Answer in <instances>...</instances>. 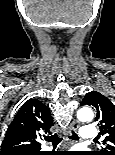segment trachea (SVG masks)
<instances>
[{"mask_svg": "<svg viewBox=\"0 0 115 155\" xmlns=\"http://www.w3.org/2000/svg\"><path fill=\"white\" fill-rule=\"evenodd\" d=\"M70 139L79 140V137L75 132H72V135L70 136ZM45 140L51 142L53 145L56 146L61 142L62 138L59 137L57 134H54L52 136L46 137Z\"/></svg>", "mask_w": 115, "mask_h": 155, "instance_id": "obj_1", "label": "trachea"}]
</instances>
